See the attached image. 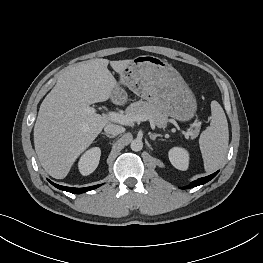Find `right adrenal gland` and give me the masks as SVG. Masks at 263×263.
Wrapping results in <instances>:
<instances>
[{"mask_svg":"<svg viewBox=\"0 0 263 263\" xmlns=\"http://www.w3.org/2000/svg\"><path fill=\"white\" fill-rule=\"evenodd\" d=\"M101 134L107 136L108 138H114V136H111V135H109L107 133H101Z\"/></svg>","mask_w":263,"mask_h":263,"instance_id":"obj_1","label":"right adrenal gland"}]
</instances>
